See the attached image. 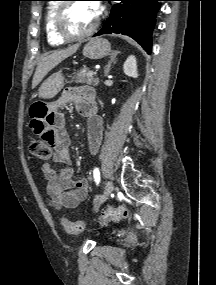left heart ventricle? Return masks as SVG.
Masks as SVG:
<instances>
[{
  "label": "left heart ventricle",
  "instance_id": "1",
  "mask_svg": "<svg viewBox=\"0 0 216 285\" xmlns=\"http://www.w3.org/2000/svg\"><path fill=\"white\" fill-rule=\"evenodd\" d=\"M97 18V13L91 3L76 2L74 3L67 14V28L73 34H80L94 24Z\"/></svg>",
  "mask_w": 216,
  "mask_h": 285
}]
</instances>
